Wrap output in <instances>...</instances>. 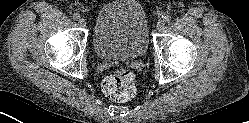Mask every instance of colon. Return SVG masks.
Returning a JSON list of instances; mask_svg holds the SVG:
<instances>
[{
	"label": "colon",
	"instance_id": "5ec220e1",
	"mask_svg": "<svg viewBox=\"0 0 249 123\" xmlns=\"http://www.w3.org/2000/svg\"><path fill=\"white\" fill-rule=\"evenodd\" d=\"M101 88L105 97L113 101H129L136 94L134 74L120 68L114 74L103 79Z\"/></svg>",
	"mask_w": 249,
	"mask_h": 123
}]
</instances>
